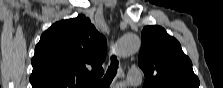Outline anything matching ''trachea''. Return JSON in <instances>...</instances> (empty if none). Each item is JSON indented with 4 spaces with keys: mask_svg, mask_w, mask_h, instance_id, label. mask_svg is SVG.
Wrapping results in <instances>:
<instances>
[{
    "mask_svg": "<svg viewBox=\"0 0 223 88\" xmlns=\"http://www.w3.org/2000/svg\"><path fill=\"white\" fill-rule=\"evenodd\" d=\"M117 69H118V60L116 56L113 55L111 57V65L108 68L103 79L91 83V86L94 88H108L117 73Z\"/></svg>",
    "mask_w": 223,
    "mask_h": 88,
    "instance_id": "1",
    "label": "trachea"
}]
</instances>
